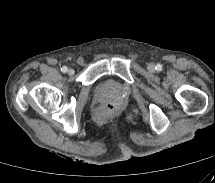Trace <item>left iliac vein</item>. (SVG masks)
<instances>
[{"instance_id":"left-iliac-vein-1","label":"left iliac vein","mask_w":215,"mask_h":183,"mask_svg":"<svg viewBox=\"0 0 215 183\" xmlns=\"http://www.w3.org/2000/svg\"><path fill=\"white\" fill-rule=\"evenodd\" d=\"M148 70L151 71V72L154 71L155 70L154 64H149L148 65Z\"/></svg>"}]
</instances>
